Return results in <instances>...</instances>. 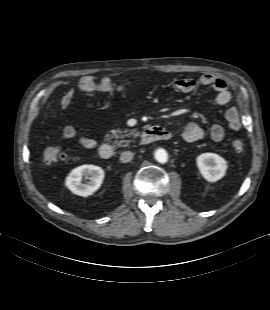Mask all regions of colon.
Returning a JSON list of instances; mask_svg holds the SVG:
<instances>
[{"instance_id": "obj_1", "label": "colon", "mask_w": 270, "mask_h": 310, "mask_svg": "<svg viewBox=\"0 0 270 310\" xmlns=\"http://www.w3.org/2000/svg\"><path fill=\"white\" fill-rule=\"evenodd\" d=\"M114 83L111 80H104L101 82L100 87L109 90L113 87ZM94 85L87 84L82 88V91H88ZM231 146L235 152H242L245 147V141L242 138H234L231 141ZM45 160L49 163L57 164L67 160V154L59 146H52L45 150L44 152Z\"/></svg>"}]
</instances>
